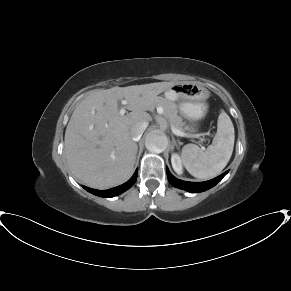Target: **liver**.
Masks as SVG:
<instances>
[{
  "label": "liver",
  "mask_w": 291,
  "mask_h": 291,
  "mask_svg": "<svg viewBox=\"0 0 291 291\" xmlns=\"http://www.w3.org/2000/svg\"><path fill=\"white\" fill-rule=\"evenodd\" d=\"M175 85L157 82L113 87L88 95L75 108L65 132L64 153L72 174L84 184L107 189L127 181L138 146L130 129L148 123L157 95ZM125 99L130 113L121 116L118 101Z\"/></svg>",
  "instance_id": "obj_1"
}]
</instances>
